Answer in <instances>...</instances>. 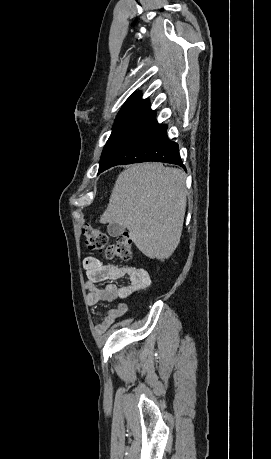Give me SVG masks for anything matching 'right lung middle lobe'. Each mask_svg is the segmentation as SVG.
I'll list each match as a JSON object with an SVG mask.
<instances>
[{"instance_id":"obj_1","label":"right lung middle lobe","mask_w":271,"mask_h":459,"mask_svg":"<svg viewBox=\"0 0 271 459\" xmlns=\"http://www.w3.org/2000/svg\"><path fill=\"white\" fill-rule=\"evenodd\" d=\"M156 115L154 112L136 111L119 113L116 117L112 133L103 149L99 173L104 170V167L110 159L137 133L154 121Z\"/></svg>"}]
</instances>
